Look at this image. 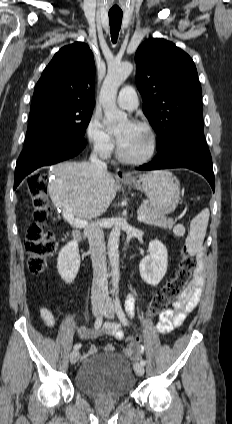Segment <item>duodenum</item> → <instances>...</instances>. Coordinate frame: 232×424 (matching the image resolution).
<instances>
[{"label":"duodenum","mask_w":232,"mask_h":424,"mask_svg":"<svg viewBox=\"0 0 232 424\" xmlns=\"http://www.w3.org/2000/svg\"><path fill=\"white\" fill-rule=\"evenodd\" d=\"M73 237L79 243V242H81L82 234H81L80 231L76 230V231L73 232Z\"/></svg>","instance_id":"duodenum-1"}]
</instances>
